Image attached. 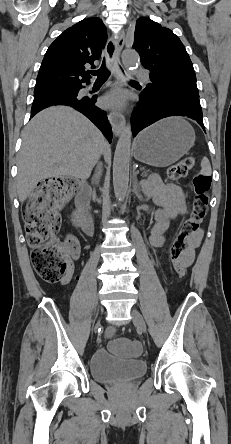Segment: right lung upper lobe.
<instances>
[{
  "label": "right lung upper lobe",
  "mask_w": 231,
  "mask_h": 444,
  "mask_svg": "<svg viewBox=\"0 0 231 444\" xmlns=\"http://www.w3.org/2000/svg\"><path fill=\"white\" fill-rule=\"evenodd\" d=\"M106 41V28L99 18L83 19L65 30L48 48L36 79L34 94L60 85L89 82L86 65L94 66Z\"/></svg>",
  "instance_id": "obj_1"
}]
</instances>
